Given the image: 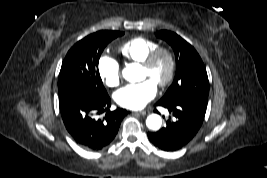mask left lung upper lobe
Segmentation results:
<instances>
[{"mask_svg": "<svg viewBox=\"0 0 267 178\" xmlns=\"http://www.w3.org/2000/svg\"><path fill=\"white\" fill-rule=\"evenodd\" d=\"M156 35L172 46L176 57L174 81L160 101L197 100L207 104L209 81L199 54L174 32L161 30Z\"/></svg>", "mask_w": 267, "mask_h": 178, "instance_id": "obj_1", "label": "left lung upper lobe"}]
</instances>
